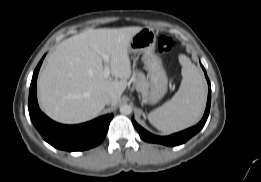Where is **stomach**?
<instances>
[{
  "label": "stomach",
  "instance_id": "0dacf381",
  "mask_svg": "<svg viewBox=\"0 0 261 182\" xmlns=\"http://www.w3.org/2000/svg\"><path fill=\"white\" fill-rule=\"evenodd\" d=\"M156 33L152 28L145 27L131 39L128 52L142 54L144 68L147 71L148 88L146 102L155 104L167 92L168 79L161 58L155 53Z\"/></svg>",
  "mask_w": 261,
  "mask_h": 182
}]
</instances>
